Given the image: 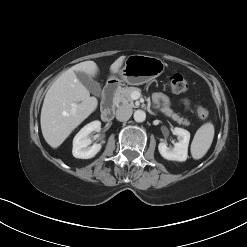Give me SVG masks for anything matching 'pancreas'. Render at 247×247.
I'll return each mask as SVG.
<instances>
[{
  "instance_id": "cf45deb5",
  "label": "pancreas",
  "mask_w": 247,
  "mask_h": 247,
  "mask_svg": "<svg viewBox=\"0 0 247 247\" xmlns=\"http://www.w3.org/2000/svg\"><path fill=\"white\" fill-rule=\"evenodd\" d=\"M141 92V89L137 87H120L115 95L114 102L116 104L128 105L130 107H135L131 94L133 92ZM160 105H158V108ZM164 114L168 117H171L174 121L179 124H183L185 126H189L190 122L188 119L179 116L178 114L174 113L171 109H160Z\"/></svg>"
}]
</instances>
